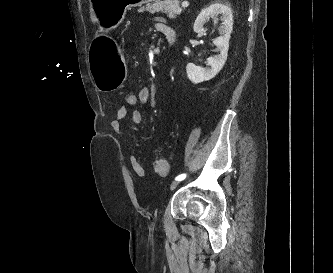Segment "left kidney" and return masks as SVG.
<instances>
[{
	"label": "left kidney",
	"instance_id": "left-kidney-1",
	"mask_svg": "<svg viewBox=\"0 0 333 273\" xmlns=\"http://www.w3.org/2000/svg\"><path fill=\"white\" fill-rule=\"evenodd\" d=\"M221 15V28L219 30L220 36L214 40V45L220 53L214 57L207 59V68L197 66L193 63H188L186 72L189 80L195 84L208 81L214 78L223 68L229 49V40L233 28V13L228 5L215 2L210 6L204 8L194 23V31L199 33L203 30V25L209 21L210 18H215Z\"/></svg>",
	"mask_w": 333,
	"mask_h": 273
}]
</instances>
